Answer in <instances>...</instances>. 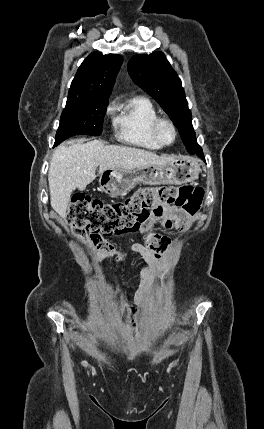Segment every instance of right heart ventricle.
Wrapping results in <instances>:
<instances>
[{"mask_svg":"<svg viewBox=\"0 0 264 429\" xmlns=\"http://www.w3.org/2000/svg\"><path fill=\"white\" fill-rule=\"evenodd\" d=\"M159 117L153 102L145 96H136L118 108L114 120L116 138L125 144L146 150L162 147L152 134V125Z\"/></svg>","mask_w":264,"mask_h":429,"instance_id":"e07e8e85","label":"right heart ventricle"}]
</instances>
